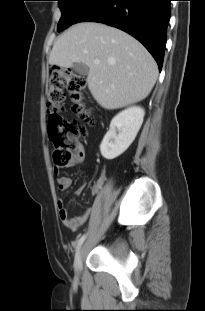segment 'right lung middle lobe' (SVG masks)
<instances>
[{"label":"right lung middle lobe","mask_w":205,"mask_h":311,"mask_svg":"<svg viewBox=\"0 0 205 311\" xmlns=\"http://www.w3.org/2000/svg\"><path fill=\"white\" fill-rule=\"evenodd\" d=\"M62 16L58 23V32L74 24L94 0H57Z\"/></svg>","instance_id":"dd1d6c3e"}]
</instances>
